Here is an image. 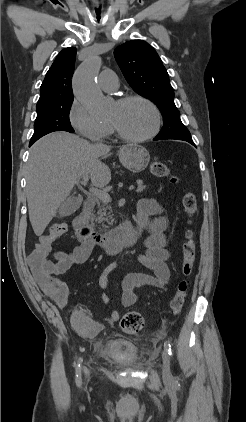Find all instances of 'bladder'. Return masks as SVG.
<instances>
[{
  "instance_id": "1",
  "label": "bladder",
  "mask_w": 246,
  "mask_h": 422,
  "mask_svg": "<svg viewBox=\"0 0 246 422\" xmlns=\"http://www.w3.org/2000/svg\"><path fill=\"white\" fill-rule=\"evenodd\" d=\"M105 357L125 367L136 368L141 364L139 348L122 338L108 340L105 346Z\"/></svg>"
}]
</instances>
